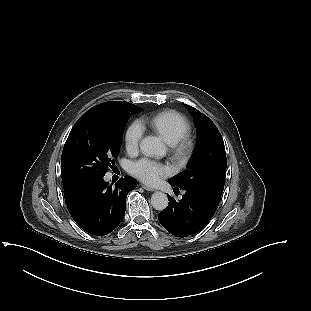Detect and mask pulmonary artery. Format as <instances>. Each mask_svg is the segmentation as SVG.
Here are the masks:
<instances>
[{"instance_id":"1","label":"pulmonary artery","mask_w":311,"mask_h":311,"mask_svg":"<svg viewBox=\"0 0 311 311\" xmlns=\"http://www.w3.org/2000/svg\"><path fill=\"white\" fill-rule=\"evenodd\" d=\"M174 145H175V144H173V143H169V146H170V147H174Z\"/></svg>"}]
</instances>
